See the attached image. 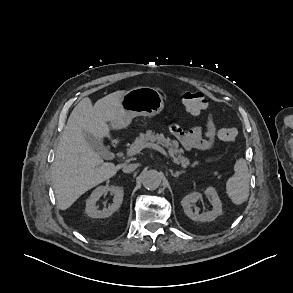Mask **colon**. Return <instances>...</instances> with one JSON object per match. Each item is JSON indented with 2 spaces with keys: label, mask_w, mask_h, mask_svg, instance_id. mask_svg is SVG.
<instances>
[{
  "label": "colon",
  "mask_w": 293,
  "mask_h": 293,
  "mask_svg": "<svg viewBox=\"0 0 293 293\" xmlns=\"http://www.w3.org/2000/svg\"><path fill=\"white\" fill-rule=\"evenodd\" d=\"M180 100L185 109L192 115L202 113L207 107V100L202 93L184 91L180 95ZM238 136V129L234 126H227L222 128L218 137L223 142H233Z\"/></svg>",
  "instance_id": "obj_1"
}]
</instances>
